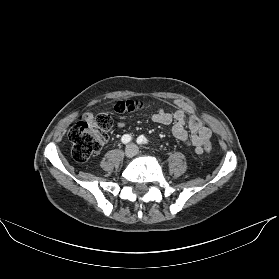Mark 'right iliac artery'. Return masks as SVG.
I'll return each mask as SVG.
<instances>
[{
	"label": "right iliac artery",
	"mask_w": 279,
	"mask_h": 279,
	"mask_svg": "<svg viewBox=\"0 0 279 279\" xmlns=\"http://www.w3.org/2000/svg\"><path fill=\"white\" fill-rule=\"evenodd\" d=\"M131 139H132V137H131L129 134H125V135L122 136L121 141H122L124 144H126V143L130 142Z\"/></svg>",
	"instance_id": "1"
}]
</instances>
